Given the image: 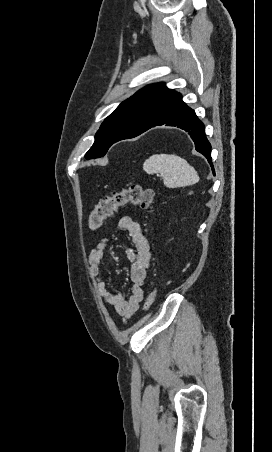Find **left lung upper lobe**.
Here are the masks:
<instances>
[{
  "label": "left lung upper lobe",
  "mask_w": 272,
  "mask_h": 452,
  "mask_svg": "<svg viewBox=\"0 0 272 452\" xmlns=\"http://www.w3.org/2000/svg\"><path fill=\"white\" fill-rule=\"evenodd\" d=\"M176 93L164 84H150L136 92L104 120L85 158H100L115 142L147 130Z\"/></svg>",
  "instance_id": "1"
}]
</instances>
